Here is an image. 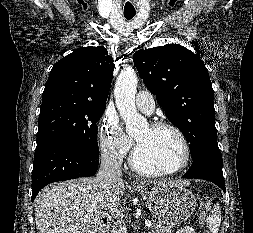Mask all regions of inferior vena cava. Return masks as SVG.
I'll return each mask as SVG.
<instances>
[{
	"instance_id": "inferior-vena-cava-1",
	"label": "inferior vena cava",
	"mask_w": 253,
	"mask_h": 233,
	"mask_svg": "<svg viewBox=\"0 0 253 233\" xmlns=\"http://www.w3.org/2000/svg\"><path fill=\"white\" fill-rule=\"evenodd\" d=\"M121 176V166L118 163L116 156L109 151L102 152L97 180L103 185L105 191L110 195L107 208L112 213L117 211V206L119 205V198L116 194H112V188L122 180Z\"/></svg>"
}]
</instances>
